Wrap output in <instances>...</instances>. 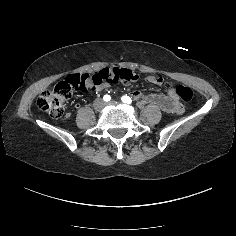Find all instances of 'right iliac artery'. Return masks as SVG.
Listing matches in <instances>:
<instances>
[{
  "label": "right iliac artery",
  "mask_w": 236,
  "mask_h": 236,
  "mask_svg": "<svg viewBox=\"0 0 236 236\" xmlns=\"http://www.w3.org/2000/svg\"><path fill=\"white\" fill-rule=\"evenodd\" d=\"M103 100L106 101V102L110 101L111 100L110 95H107V94L104 95Z\"/></svg>",
  "instance_id": "82829eb1"
}]
</instances>
